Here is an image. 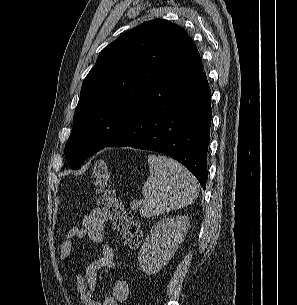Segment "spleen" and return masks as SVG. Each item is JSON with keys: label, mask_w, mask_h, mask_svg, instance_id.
Here are the masks:
<instances>
[{"label": "spleen", "mask_w": 297, "mask_h": 305, "mask_svg": "<svg viewBox=\"0 0 297 305\" xmlns=\"http://www.w3.org/2000/svg\"><path fill=\"white\" fill-rule=\"evenodd\" d=\"M150 175L142 188L143 217H154L191 204L199 194L196 178L179 162L165 156H148Z\"/></svg>", "instance_id": "spleen-1"}]
</instances>
